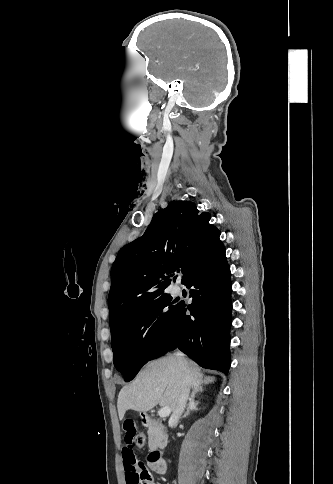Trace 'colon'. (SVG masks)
<instances>
[{
  "mask_svg": "<svg viewBox=\"0 0 333 484\" xmlns=\"http://www.w3.org/2000/svg\"><path fill=\"white\" fill-rule=\"evenodd\" d=\"M134 443L138 447H142L145 444V435L143 433H137Z\"/></svg>",
  "mask_w": 333,
  "mask_h": 484,
  "instance_id": "obj_1",
  "label": "colon"
}]
</instances>
